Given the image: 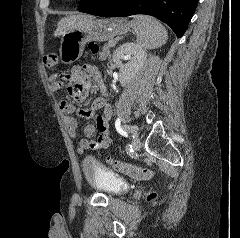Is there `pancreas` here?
Masks as SVG:
<instances>
[{"label":"pancreas","instance_id":"obj_1","mask_svg":"<svg viewBox=\"0 0 240 238\" xmlns=\"http://www.w3.org/2000/svg\"><path fill=\"white\" fill-rule=\"evenodd\" d=\"M110 42H112V41H110ZM109 42V43H110ZM113 42H115L116 43V41H113ZM109 43L108 44H105L103 47H102V51L101 52H99V60H101V61H104V60H106L108 57H110V45H109Z\"/></svg>","mask_w":240,"mask_h":238}]
</instances>
